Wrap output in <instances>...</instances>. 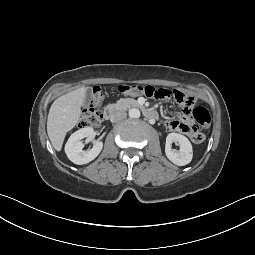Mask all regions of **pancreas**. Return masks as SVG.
Here are the masks:
<instances>
[{"instance_id": "1", "label": "pancreas", "mask_w": 255, "mask_h": 255, "mask_svg": "<svg viewBox=\"0 0 255 255\" xmlns=\"http://www.w3.org/2000/svg\"><path fill=\"white\" fill-rule=\"evenodd\" d=\"M137 101L131 98H121L116 102V107L118 108H129L131 106H137Z\"/></svg>"}]
</instances>
